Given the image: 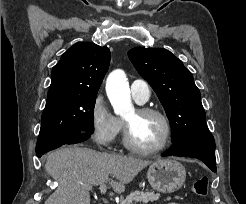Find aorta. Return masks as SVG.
I'll use <instances>...</instances> for the list:
<instances>
[{
    "instance_id": "obj_1",
    "label": "aorta",
    "mask_w": 246,
    "mask_h": 204,
    "mask_svg": "<svg viewBox=\"0 0 246 204\" xmlns=\"http://www.w3.org/2000/svg\"><path fill=\"white\" fill-rule=\"evenodd\" d=\"M106 92L116 115L129 117L135 109L131 101L126 75L122 70L113 71L106 81Z\"/></svg>"
}]
</instances>
